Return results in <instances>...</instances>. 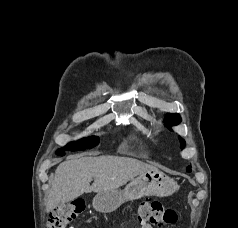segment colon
Returning a JSON list of instances; mask_svg holds the SVG:
<instances>
[{
    "instance_id": "colon-1",
    "label": "colon",
    "mask_w": 238,
    "mask_h": 228,
    "mask_svg": "<svg viewBox=\"0 0 238 228\" xmlns=\"http://www.w3.org/2000/svg\"><path fill=\"white\" fill-rule=\"evenodd\" d=\"M85 208V201L80 199L56 207L50 213L47 228H68L84 212ZM137 214L142 224L153 226L173 225L177 221L176 212L157 201L142 202Z\"/></svg>"
}]
</instances>
